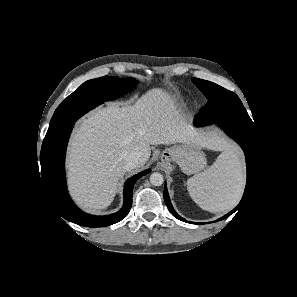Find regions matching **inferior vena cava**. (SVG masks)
Returning <instances> with one entry per match:
<instances>
[{
  "label": "inferior vena cava",
  "mask_w": 297,
  "mask_h": 297,
  "mask_svg": "<svg viewBox=\"0 0 297 297\" xmlns=\"http://www.w3.org/2000/svg\"><path fill=\"white\" fill-rule=\"evenodd\" d=\"M143 162V158L139 152L130 153L124 163V168L128 171L136 168L140 163Z\"/></svg>",
  "instance_id": "obj_1"
}]
</instances>
